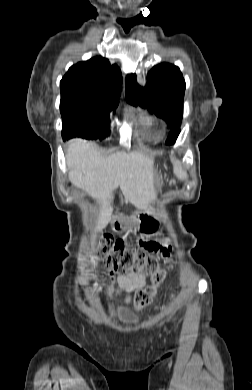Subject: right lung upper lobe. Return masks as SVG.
Here are the masks:
<instances>
[{"mask_svg": "<svg viewBox=\"0 0 252 390\" xmlns=\"http://www.w3.org/2000/svg\"><path fill=\"white\" fill-rule=\"evenodd\" d=\"M122 75L117 65L102 57L71 66L60 81V108L101 106L115 108L119 103Z\"/></svg>", "mask_w": 252, "mask_h": 390, "instance_id": "obj_1", "label": "right lung upper lobe"}]
</instances>
